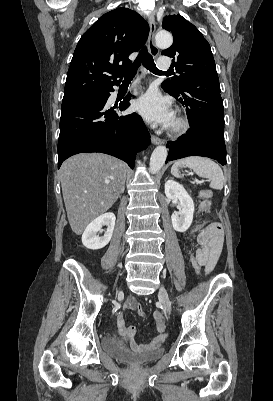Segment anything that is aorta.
Here are the masks:
<instances>
[{
  "instance_id": "762f6f07",
  "label": "aorta",
  "mask_w": 273,
  "mask_h": 401,
  "mask_svg": "<svg viewBox=\"0 0 273 401\" xmlns=\"http://www.w3.org/2000/svg\"><path fill=\"white\" fill-rule=\"evenodd\" d=\"M173 38L170 33L160 31L155 36V43L160 48H168L171 46ZM168 155V150L165 146H157L150 158V172L156 174L163 167Z\"/></svg>"
}]
</instances>
